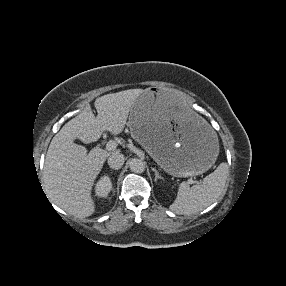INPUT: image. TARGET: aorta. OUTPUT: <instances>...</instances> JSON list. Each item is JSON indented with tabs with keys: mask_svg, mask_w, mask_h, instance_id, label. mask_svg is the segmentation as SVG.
<instances>
[{
	"mask_svg": "<svg viewBox=\"0 0 286 286\" xmlns=\"http://www.w3.org/2000/svg\"><path fill=\"white\" fill-rule=\"evenodd\" d=\"M130 170L134 173H142L145 170V163L138 158H132L129 160Z\"/></svg>",
	"mask_w": 286,
	"mask_h": 286,
	"instance_id": "762f6f07",
	"label": "aorta"
}]
</instances>
